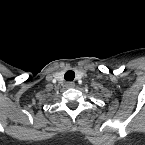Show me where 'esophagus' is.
I'll return each instance as SVG.
<instances>
[{
  "instance_id": "34e87169",
  "label": "esophagus",
  "mask_w": 145,
  "mask_h": 145,
  "mask_svg": "<svg viewBox=\"0 0 145 145\" xmlns=\"http://www.w3.org/2000/svg\"><path fill=\"white\" fill-rule=\"evenodd\" d=\"M74 86H75L74 82H67L66 83L67 88H74Z\"/></svg>"
}]
</instances>
